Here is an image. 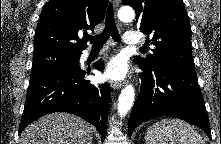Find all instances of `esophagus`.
<instances>
[{
    "label": "esophagus",
    "mask_w": 221,
    "mask_h": 144,
    "mask_svg": "<svg viewBox=\"0 0 221 144\" xmlns=\"http://www.w3.org/2000/svg\"><path fill=\"white\" fill-rule=\"evenodd\" d=\"M119 2H120V0H113V4H114V6H115L116 8L118 7ZM118 26L121 27L120 22H118ZM123 85H124L123 82L111 81V87H112L113 89H120V88L123 87Z\"/></svg>",
    "instance_id": "34e87169"
}]
</instances>
